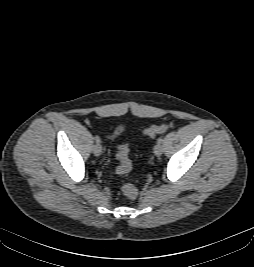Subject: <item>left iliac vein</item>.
<instances>
[{
    "mask_svg": "<svg viewBox=\"0 0 254 267\" xmlns=\"http://www.w3.org/2000/svg\"><path fill=\"white\" fill-rule=\"evenodd\" d=\"M163 152V146L160 144V143H157L155 146H154V154L156 156H160Z\"/></svg>",
    "mask_w": 254,
    "mask_h": 267,
    "instance_id": "left-iliac-vein-1",
    "label": "left iliac vein"
}]
</instances>
